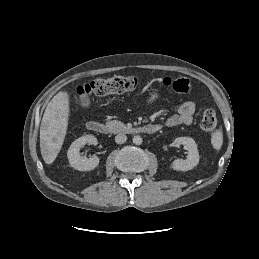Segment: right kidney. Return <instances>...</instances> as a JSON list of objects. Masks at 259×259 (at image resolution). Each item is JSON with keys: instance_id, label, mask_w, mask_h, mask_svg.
Masks as SVG:
<instances>
[{"instance_id": "ca27d5eb", "label": "right kidney", "mask_w": 259, "mask_h": 259, "mask_svg": "<svg viewBox=\"0 0 259 259\" xmlns=\"http://www.w3.org/2000/svg\"><path fill=\"white\" fill-rule=\"evenodd\" d=\"M97 139L93 135H85L76 139L67 152V157L70 166L79 171H91L99 165V158L94 156L91 158H86L81 156L80 150L86 144H94Z\"/></svg>"}]
</instances>
